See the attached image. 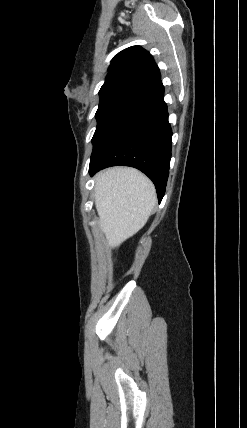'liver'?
Masks as SVG:
<instances>
[{
	"instance_id": "6515ba94",
	"label": "liver",
	"mask_w": 247,
	"mask_h": 428,
	"mask_svg": "<svg viewBox=\"0 0 247 428\" xmlns=\"http://www.w3.org/2000/svg\"><path fill=\"white\" fill-rule=\"evenodd\" d=\"M153 183L129 167H113L95 176V206L107 245L118 247L147 222L156 203Z\"/></svg>"
}]
</instances>
